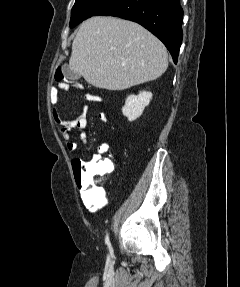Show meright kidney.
<instances>
[{
    "label": "right kidney",
    "mask_w": 240,
    "mask_h": 287,
    "mask_svg": "<svg viewBox=\"0 0 240 287\" xmlns=\"http://www.w3.org/2000/svg\"><path fill=\"white\" fill-rule=\"evenodd\" d=\"M151 99L152 93L147 91L140 92L138 95L128 96L125 105L122 107L123 115L127 117L130 122L136 120L142 115Z\"/></svg>",
    "instance_id": "ca27d5eb"
}]
</instances>
